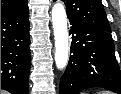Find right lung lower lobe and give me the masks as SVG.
<instances>
[{
  "label": "right lung lower lobe",
  "instance_id": "obj_1",
  "mask_svg": "<svg viewBox=\"0 0 121 94\" xmlns=\"http://www.w3.org/2000/svg\"><path fill=\"white\" fill-rule=\"evenodd\" d=\"M29 10L27 2L1 14V89L28 94L30 71Z\"/></svg>",
  "mask_w": 121,
  "mask_h": 94
}]
</instances>
